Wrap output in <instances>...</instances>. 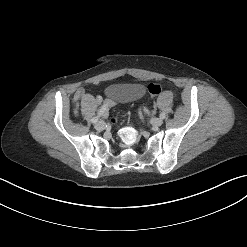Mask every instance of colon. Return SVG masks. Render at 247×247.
Returning <instances> with one entry per match:
<instances>
[{
    "instance_id": "colon-1",
    "label": "colon",
    "mask_w": 247,
    "mask_h": 247,
    "mask_svg": "<svg viewBox=\"0 0 247 247\" xmlns=\"http://www.w3.org/2000/svg\"><path fill=\"white\" fill-rule=\"evenodd\" d=\"M147 88H148V91L151 94V96L155 97L161 92L162 85H161V83L154 82V83H150ZM121 118H122V116L120 114H117L114 118H112L111 121L114 124H117Z\"/></svg>"
}]
</instances>
